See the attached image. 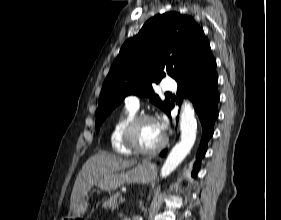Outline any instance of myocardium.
I'll use <instances>...</instances> for the list:
<instances>
[{
  "label": "myocardium",
  "instance_id": "obj_1",
  "mask_svg": "<svg viewBox=\"0 0 281 220\" xmlns=\"http://www.w3.org/2000/svg\"><path fill=\"white\" fill-rule=\"evenodd\" d=\"M155 121V118L148 114H137L132 117L124 126L121 134L124 146L135 154L149 155L159 152L166 145V138L163 137L162 141L153 148L140 147L135 139V132L140 123L143 121ZM156 122V121H155Z\"/></svg>",
  "mask_w": 281,
  "mask_h": 220
}]
</instances>
